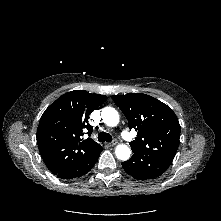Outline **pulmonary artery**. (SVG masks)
<instances>
[{"mask_svg": "<svg viewBox=\"0 0 221 221\" xmlns=\"http://www.w3.org/2000/svg\"><path fill=\"white\" fill-rule=\"evenodd\" d=\"M124 136H126L127 135V132L126 131H123V133H122Z\"/></svg>", "mask_w": 221, "mask_h": 221, "instance_id": "e3ab8cb5", "label": "pulmonary artery"}]
</instances>
